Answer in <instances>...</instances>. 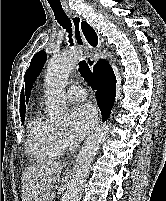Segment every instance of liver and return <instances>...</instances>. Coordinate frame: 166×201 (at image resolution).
<instances>
[{"mask_svg": "<svg viewBox=\"0 0 166 201\" xmlns=\"http://www.w3.org/2000/svg\"><path fill=\"white\" fill-rule=\"evenodd\" d=\"M62 169V162L52 161L38 162L25 168L21 177L22 201H49Z\"/></svg>", "mask_w": 166, "mask_h": 201, "instance_id": "1", "label": "liver"}]
</instances>
